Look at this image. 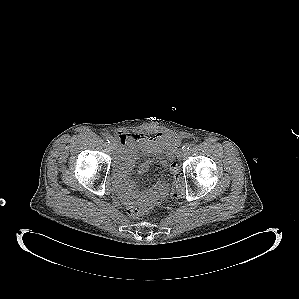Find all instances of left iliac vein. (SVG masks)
<instances>
[{"mask_svg":"<svg viewBox=\"0 0 299 299\" xmlns=\"http://www.w3.org/2000/svg\"><path fill=\"white\" fill-rule=\"evenodd\" d=\"M185 153H186V150L180 149L177 154L178 159L181 160L185 156Z\"/></svg>","mask_w":299,"mask_h":299,"instance_id":"obj_1","label":"left iliac vein"}]
</instances>
